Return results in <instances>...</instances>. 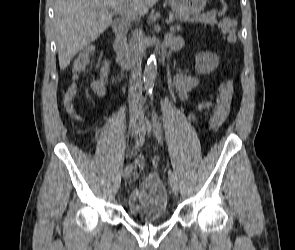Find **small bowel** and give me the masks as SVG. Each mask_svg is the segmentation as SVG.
Returning <instances> with one entry per match:
<instances>
[{"label": "small bowel", "instance_id": "small-bowel-1", "mask_svg": "<svg viewBox=\"0 0 295 250\" xmlns=\"http://www.w3.org/2000/svg\"><path fill=\"white\" fill-rule=\"evenodd\" d=\"M182 39L180 37H170L169 45L172 49H177L181 46ZM90 59V51H85L79 55V57L75 60L72 73L73 78L76 79L79 73L85 68V65L89 62ZM112 80L110 67L108 63H105L98 75V77L91 76V87L95 93L102 96L105 93L106 85ZM173 85L178 92V95L181 99L186 100L190 96V94L196 89L198 85V80L188 74L180 73L176 75L173 79ZM214 107V103L210 100H204L200 102L197 107L198 111H205L212 109ZM192 119L195 118V114L192 112L190 114ZM135 168L140 169L142 167V160L138 159L135 162Z\"/></svg>", "mask_w": 295, "mask_h": 250}]
</instances>
